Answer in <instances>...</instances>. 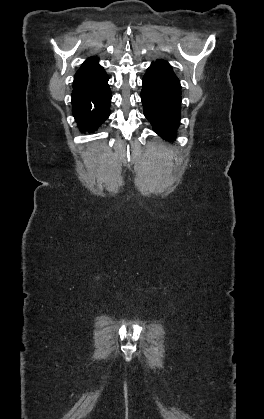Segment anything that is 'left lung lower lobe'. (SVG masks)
I'll return each instance as SVG.
<instances>
[{
    "instance_id": "1",
    "label": "left lung lower lobe",
    "mask_w": 264,
    "mask_h": 419,
    "mask_svg": "<svg viewBox=\"0 0 264 419\" xmlns=\"http://www.w3.org/2000/svg\"><path fill=\"white\" fill-rule=\"evenodd\" d=\"M141 100L144 115L153 130L167 140H175L181 110V86L171 66L152 62L142 80Z\"/></svg>"
}]
</instances>
